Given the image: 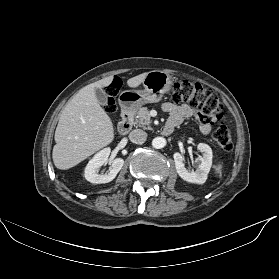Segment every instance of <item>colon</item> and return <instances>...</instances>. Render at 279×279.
Returning a JSON list of instances; mask_svg holds the SVG:
<instances>
[{"instance_id": "1", "label": "colon", "mask_w": 279, "mask_h": 279, "mask_svg": "<svg viewBox=\"0 0 279 279\" xmlns=\"http://www.w3.org/2000/svg\"><path fill=\"white\" fill-rule=\"evenodd\" d=\"M120 87L121 83L119 81H113L109 86L110 97L105 107L106 111H115L113 96L119 92ZM171 98L174 103H187L195 111V115L201 123L215 125L214 140L224 150L229 151L232 149V133L224 124L222 103L213 90L204 87L200 83L184 80L173 85Z\"/></svg>"}]
</instances>
